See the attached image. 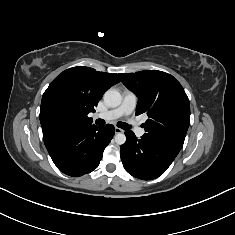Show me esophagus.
Masks as SVG:
<instances>
[{"label": "esophagus", "mask_w": 235, "mask_h": 235, "mask_svg": "<svg viewBox=\"0 0 235 235\" xmlns=\"http://www.w3.org/2000/svg\"><path fill=\"white\" fill-rule=\"evenodd\" d=\"M123 130L119 127H115V133L118 134V133H122Z\"/></svg>", "instance_id": "1"}]
</instances>
